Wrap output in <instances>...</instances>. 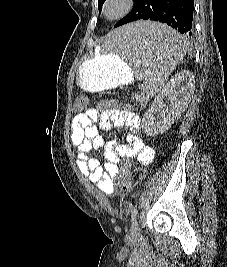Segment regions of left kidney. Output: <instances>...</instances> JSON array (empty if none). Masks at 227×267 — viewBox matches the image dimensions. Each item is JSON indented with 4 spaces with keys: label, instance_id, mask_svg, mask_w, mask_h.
Here are the masks:
<instances>
[{
    "label": "left kidney",
    "instance_id": "5707ae66",
    "mask_svg": "<svg viewBox=\"0 0 227 267\" xmlns=\"http://www.w3.org/2000/svg\"><path fill=\"white\" fill-rule=\"evenodd\" d=\"M195 90V76L191 71L176 74L155 98L144 114L142 128L148 136L168 130L186 110Z\"/></svg>",
    "mask_w": 227,
    "mask_h": 267
}]
</instances>
